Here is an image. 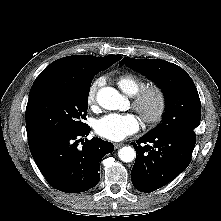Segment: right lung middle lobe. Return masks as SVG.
<instances>
[{"instance_id":"dd1d6c3e","label":"right lung middle lobe","mask_w":221,"mask_h":221,"mask_svg":"<svg viewBox=\"0 0 221 221\" xmlns=\"http://www.w3.org/2000/svg\"><path fill=\"white\" fill-rule=\"evenodd\" d=\"M98 66L86 80L74 82L54 77L36 78L26 107L28 142L52 133L79 131L86 120L88 95L94 75L110 67Z\"/></svg>"}]
</instances>
